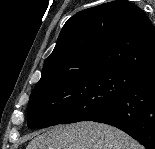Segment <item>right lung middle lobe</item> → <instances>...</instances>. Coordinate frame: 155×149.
I'll return each instance as SVG.
<instances>
[{
    "instance_id": "right-lung-middle-lobe-1",
    "label": "right lung middle lobe",
    "mask_w": 155,
    "mask_h": 149,
    "mask_svg": "<svg viewBox=\"0 0 155 149\" xmlns=\"http://www.w3.org/2000/svg\"><path fill=\"white\" fill-rule=\"evenodd\" d=\"M144 75L117 69L68 74L40 81L28 103V127L90 121Z\"/></svg>"
}]
</instances>
